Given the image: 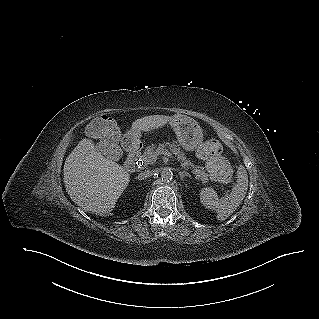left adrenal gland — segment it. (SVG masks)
Returning <instances> with one entry per match:
<instances>
[{"mask_svg": "<svg viewBox=\"0 0 319 319\" xmlns=\"http://www.w3.org/2000/svg\"><path fill=\"white\" fill-rule=\"evenodd\" d=\"M179 176L183 180L185 177H190V174L185 171H179Z\"/></svg>", "mask_w": 319, "mask_h": 319, "instance_id": "1", "label": "left adrenal gland"}]
</instances>
